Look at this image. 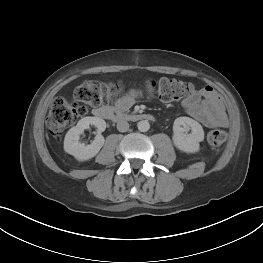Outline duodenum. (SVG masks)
<instances>
[{
    "mask_svg": "<svg viewBox=\"0 0 263 263\" xmlns=\"http://www.w3.org/2000/svg\"><path fill=\"white\" fill-rule=\"evenodd\" d=\"M94 115L99 118L108 119L115 122H121V121L136 122V121L153 119V116L150 114H144V113L127 114L124 113L119 108H112V107H101L95 109Z\"/></svg>",
    "mask_w": 263,
    "mask_h": 263,
    "instance_id": "1",
    "label": "duodenum"
}]
</instances>
